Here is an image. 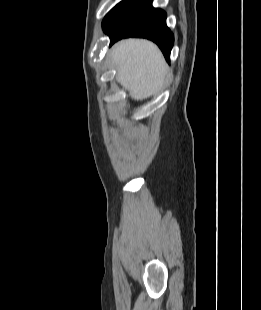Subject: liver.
I'll return each instance as SVG.
<instances>
[{
	"label": "liver",
	"mask_w": 261,
	"mask_h": 310,
	"mask_svg": "<svg viewBox=\"0 0 261 310\" xmlns=\"http://www.w3.org/2000/svg\"><path fill=\"white\" fill-rule=\"evenodd\" d=\"M117 81L132 99L143 100L163 85L168 66L158 47L144 39H126L112 49Z\"/></svg>",
	"instance_id": "6515ba94"
}]
</instances>
